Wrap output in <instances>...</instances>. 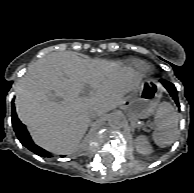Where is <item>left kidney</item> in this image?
I'll return each mask as SVG.
<instances>
[{"instance_id":"5707ae66","label":"left kidney","mask_w":194,"mask_h":193,"mask_svg":"<svg viewBox=\"0 0 194 193\" xmlns=\"http://www.w3.org/2000/svg\"><path fill=\"white\" fill-rule=\"evenodd\" d=\"M136 141H137V149L140 152L147 154V153H150L152 151L151 147L147 144L146 141H144L143 138H138Z\"/></svg>"}]
</instances>
